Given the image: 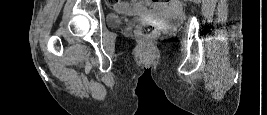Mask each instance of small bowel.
Masks as SVG:
<instances>
[{"mask_svg": "<svg viewBox=\"0 0 267 115\" xmlns=\"http://www.w3.org/2000/svg\"><path fill=\"white\" fill-rule=\"evenodd\" d=\"M113 8L119 13L128 14V15H149L152 13L164 12L167 9L172 11H178L180 5L178 2L173 1L169 7L164 3H151L150 1H141V2H124V1H113Z\"/></svg>", "mask_w": 267, "mask_h": 115, "instance_id": "c3829d8e", "label": "small bowel"}]
</instances>
